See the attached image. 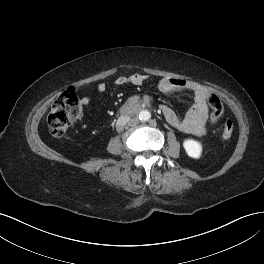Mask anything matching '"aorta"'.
Masks as SVG:
<instances>
[{"label": "aorta", "instance_id": "aorta-1", "mask_svg": "<svg viewBox=\"0 0 264 264\" xmlns=\"http://www.w3.org/2000/svg\"><path fill=\"white\" fill-rule=\"evenodd\" d=\"M136 118L140 121H148L151 118V113L148 110H142Z\"/></svg>", "mask_w": 264, "mask_h": 264}]
</instances>
